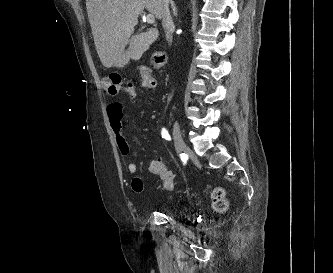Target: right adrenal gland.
<instances>
[{"instance_id":"right-adrenal-gland-1","label":"right adrenal gland","mask_w":333,"mask_h":273,"mask_svg":"<svg viewBox=\"0 0 333 273\" xmlns=\"http://www.w3.org/2000/svg\"><path fill=\"white\" fill-rule=\"evenodd\" d=\"M170 4H171V8H172V11H173V15L174 16H177V8L175 6V3L173 0H170Z\"/></svg>"}]
</instances>
